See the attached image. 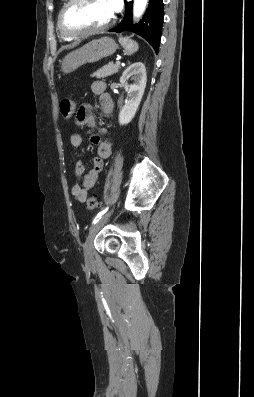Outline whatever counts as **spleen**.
Wrapping results in <instances>:
<instances>
[{"instance_id":"1","label":"spleen","mask_w":254,"mask_h":397,"mask_svg":"<svg viewBox=\"0 0 254 397\" xmlns=\"http://www.w3.org/2000/svg\"><path fill=\"white\" fill-rule=\"evenodd\" d=\"M119 42L125 49L127 55L134 54L139 48L138 43L128 37H119Z\"/></svg>"}]
</instances>
